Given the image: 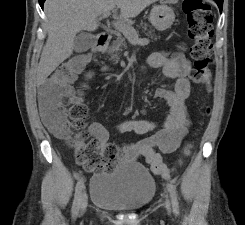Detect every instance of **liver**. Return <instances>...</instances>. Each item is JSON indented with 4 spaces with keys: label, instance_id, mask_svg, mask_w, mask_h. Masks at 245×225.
Listing matches in <instances>:
<instances>
[{
    "label": "liver",
    "instance_id": "obj_1",
    "mask_svg": "<svg viewBox=\"0 0 245 225\" xmlns=\"http://www.w3.org/2000/svg\"><path fill=\"white\" fill-rule=\"evenodd\" d=\"M156 1L158 0H47L44 12L48 38L37 70V84H43L71 56L78 32L97 29L99 15L117 8L120 9V19L127 21Z\"/></svg>",
    "mask_w": 245,
    "mask_h": 225
}]
</instances>
